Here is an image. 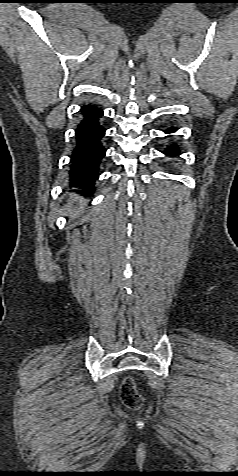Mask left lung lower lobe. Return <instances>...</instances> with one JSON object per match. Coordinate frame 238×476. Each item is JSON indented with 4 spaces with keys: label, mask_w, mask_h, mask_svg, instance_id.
Masks as SVG:
<instances>
[{
    "label": "left lung lower lobe",
    "mask_w": 238,
    "mask_h": 476,
    "mask_svg": "<svg viewBox=\"0 0 238 476\" xmlns=\"http://www.w3.org/2000/svg\"><path fill=\"white\" fill-rule=\"evenodd\" d=\"M175 131H177V127H170L166 129L164 132L166 134H170V133H174ZM163 153L172 157H176L181 153V150L176 142H171L170 145L167 146V148L163 151Z\"/></svg>",
    "instance_id": "obj_1"
}]
</instances>
